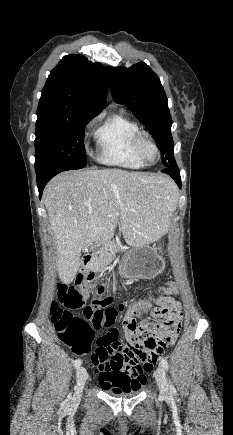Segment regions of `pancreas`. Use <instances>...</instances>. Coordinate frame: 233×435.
<instances>
[{
    "label": "pancreas",
    "instance_id": "cf45deb5",
    "mask_svg": "<svg viewBox=\"0 0 233 435\" xmlns=\"http://www.w3.org/2000/svg\"><path fill=\"white\" fill-rule=\"evenodd\" d=\"M113 248H120V243L118 240L111 242L108 248L104 250L99 257L95 259V266L101 269H105L107 265L113 260L114 255L112 253Z\"/></svg>",
    "mask_w": 233,
    "mask_h": 435
}]
</instances>
